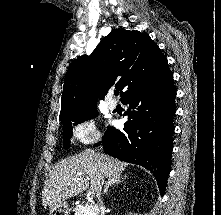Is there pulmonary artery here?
<instances>
[{
  "label": "pulmonary artery",
  "mask_w": 221,
  "mask_h": 215,
  "mask_svg": "<svg viewBox=\"0 0 221 215\" xmlns=\"http://www.w3.org/2000/svg\"><path fill=\"white\" fill-rule=\"evenodd\" d=\"M106 106L110 110H114L117 106L116 102L112 98L106 100Z\"/></svg>",
  "instance_id": "e3ab8cb5"
}]
</instances>
